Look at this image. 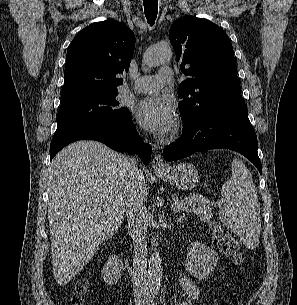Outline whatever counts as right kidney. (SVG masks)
Segmentation results:
<instances>
[{"label": "right kidney", "mask_w": 297, "mask_h": 305, "mask_svg": "<svg viewBox=\"0 0 297 305\" xmlns=\"http://www.w3.org/2000/svg\"><path fill=\"white\" fill-rule=\"evenodd\" d=\"M122 272V260L116 255L109 256L108 261H106L102 270V277L104 279V282L107 283V285L109 286L117 284V282L121 278Z\"/></svg>", "instance_id": "ca27d5eb"}]
</instances>
